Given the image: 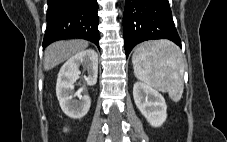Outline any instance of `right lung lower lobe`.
I'll return each mask as SVG.
<instances>
[{
    "label": "right lung lower lobe",
    "mask_w": 227,
    "mask_h": 142,
    "mask_svg": "<svg viewBox=\"0 0 227 142\" xmlns=\"http://www.w3.org/2000/svg\"><path fill=\"white\" fill-rule=\"evenodd\" d=\"M43 48L54 41L82 38L99 48L96 0H48Z\"/></svg>",
    "instance_id": "98d812e1"
}]
</instances>
